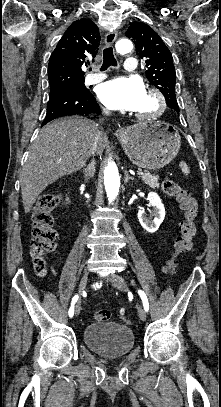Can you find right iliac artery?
<instances>
[{
    "label": "right iliac artery",
    "instance_id": "82829eb1",
    "mask_svg": "<svg viewBox=\"0 0 221 407\" xmlns=\"http://www.w3.org/2000/svg\"><path fill=\"white\" fill-rule=\"evenodd\" d=\"M78 298H79L78 295H75L72 299L71 307L68 312L69 317H72L74 314V304L77 302Z\"/></svg>",
    "mask_w": 221,
    "mask_h": 407
}]
</instances>
